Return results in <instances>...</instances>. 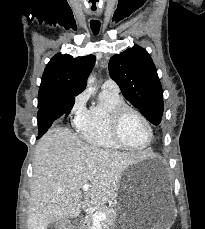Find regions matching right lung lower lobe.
Masks as SVG:
<instances>
[{"label": "right lung lower lobe", "instance_id": "1", "mask_svg": "<svg viewBox=\"0 0 205 229\" xmlns=\"http://www.w3.org/2000/svg\"><path fill=\"white\" fill-rule=\"evenodd\" d=\"M75 101L73 102L70 97L59 99L49 106L42 108L38 111V137L41 138L44 133L47 132L53 121L60 116L69 114L73 108Z\"/></svg>", "mask_w": 205, "mask_h": 229}]
</instances>
